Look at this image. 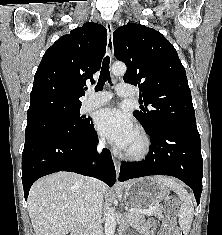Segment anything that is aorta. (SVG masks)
<instances>
[{
  "instance_id": "aorta-1",
  "label": "aorta",
  "mask_w": 222,
  "mask_h": 235,
  "mask_svg": "<svg viewBox=\"0 0 222 235\" xmlns=\"http://www.w3.org/2000/svg\"><path fill=\"white\" fill-rule=\"evenodd\" d=\"M127 67L122 62H116L112 65L111 71L116 76H122L126 73ZM116 226V216L115 209L109 208L106 213L105 220V234L106 235H114Z\"/></svg>"
}]
</instances>
